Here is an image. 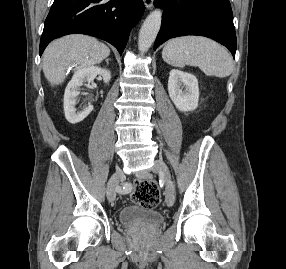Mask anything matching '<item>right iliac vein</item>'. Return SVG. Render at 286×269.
Listing matches in <instances>:
<instances>
[{
	"label": "right iliac vein",
	"mask_w": 286,
	"mask_h": 269,
	"mask_svg": "<svg viewBox=\"0 0 286 269\" xmlns=\"http://www.w3.org/2000/svg\"><path fill=\"white\" fill-rule=\"evenodd\" d=\"M124 179V173L121 169L115 171L107 183V198L110 202H113L116 198V187L120 181Z\"/></svg>",
	"instance_id": "1"
}]
</instances>
